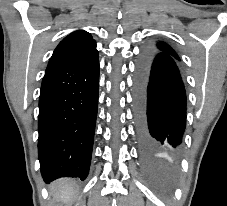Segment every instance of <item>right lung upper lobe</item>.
<instances>
[{
	"mask_svg": "<svg viewBox=\"0 0 227 206\" xmlns=\"http://www.w3.org/2000/svg\"><path fill=\"white\" fill-rule=\"evenodd\" d=\"M96 57H98V51L92 36L83 30L74 31L56 47L45 73L66 66L85 63Z\"/></svg>",
	"mask_w": 227,
	"mask_h": 206,
	"instance_id": "right-lung-upper-lobe-1",
	"label": "right lung upper lobe"
}]
</instances>
